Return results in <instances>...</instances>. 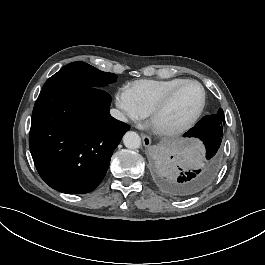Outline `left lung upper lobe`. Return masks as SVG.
<instances>
[{"instance_id":"1","label":"left lung upper lobe","mask_w":265,"mask_h":265,"mask_svg":"<svg viewBox=\"0 0 265 265\" xmlns=\"http://www.w3.org/2000/svg\"><path fill=\"white\" fill-rule=\"evenodd\" d=\"M215 115H217L218 117H221V119L223 117V113L222 112H219V110H218L217 114H215Z\"/></svg>"}]
</instances>
